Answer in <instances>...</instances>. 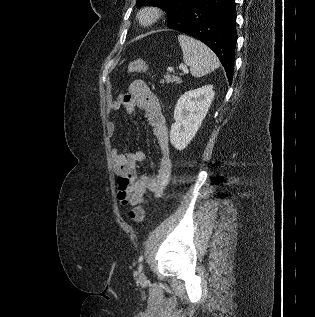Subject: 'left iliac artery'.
Wrapping results in <instances>:
<instances>
[{"mask_svg":"<svg viewBox=\"0 0 315 317\" xmlns=\"http://www.w3.org/2000/svg\"><path fill=\"white\" fill-rule=\"evenodd\" d=\"M138 260H139V262H142L143 261V255H141Z\"/></svg>","mask_w":315,"mask_h":317,"instance_id":"44dca946","label":"left iliac artery"}]
</instances>
